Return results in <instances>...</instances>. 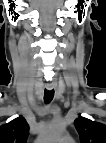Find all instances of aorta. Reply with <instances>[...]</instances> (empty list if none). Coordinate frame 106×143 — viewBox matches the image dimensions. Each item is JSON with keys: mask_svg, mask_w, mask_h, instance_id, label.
Segmentation results:
<instances>
[{"mask_svg": "<svg viewBox=\"0 0 106 143\" xmlns=\"http://www.w3.org/2000/svg\"><path fill=\"white\" fill-rule=\"evenodd\" d=\"M64 125L61 122L53 121L47 125L42 133V141L53 142L56 141L63 133Z\"/></svg>", "mask_w": 106, "mask_h": 143, "instance_id": "762f6f07", "label": "aorta"}]
</instances>
